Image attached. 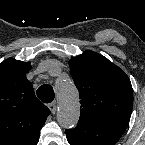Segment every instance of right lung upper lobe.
<instances>
[{"label": "right lung upper lobe", "mask_w": 145, "mask_h": 145, "mask_svg": "<svg viewBox=\"0 0 145 145\" xmlns=\"http://www.w3.org/2000/svg\"><path fill=\"white\" fill-rule=\"evenodd\" d=\"M29 62L9 58L0 64V145H33L49 109L34 94Z\"/></svg>", "instance_id": "1"}]
</instances>
